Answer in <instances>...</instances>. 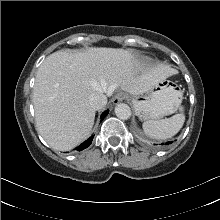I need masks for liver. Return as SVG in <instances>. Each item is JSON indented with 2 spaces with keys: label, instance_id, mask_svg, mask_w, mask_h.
Wrapping results in <instances>:
<instances>
[{
  "label": "liver",
  "instance_id": "liver-1",
  "mask_svg": "<svg viewBox=\"0 0 220 220\" xmlns=\"http://www.w3.org/2000/svg\"><path fill=\"white\" fill-rule=\"evenodd\" d=\"M173 74L166 65L144 66L130 50L100 47L54 52L43 61L35 79L37 130L52 148L71 150L91 133L92 94L110 96L121 87L139 95Z\"/></svg>",
  "mask_w": 220,
  "mask_h": 220
}]
</instances>
